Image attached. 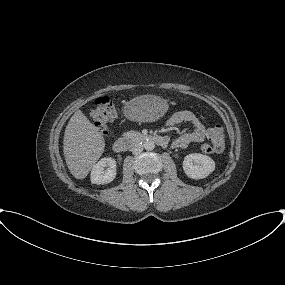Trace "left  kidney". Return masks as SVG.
Listing matches in <instances>:
<instances>
[{"label":"left kidney","mask_w":285,"mask_h":285,"mask_svg":"<svg viewBox=\"0 0 285 285\" xmlns=\"http://www.w3.org/2000/svg\"><path fill=\"white\" fill-rule=\"evenodd\" d=\"M183 170L192 179H203L215 170V162L207 155L189 154L184 157Z\"/></svg>","instance_id":"1"}]
</instances>
